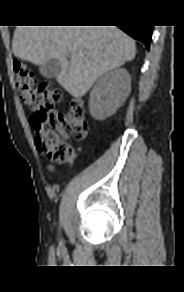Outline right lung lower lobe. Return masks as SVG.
Here are the masks:
<instances>
[{
	"label": "right lung lower lobe",
	"mask_w": 184,
	"mask_h": 292,
	"mask_svg": "<svg viewBox=\"0 0 184 292\" xmlns=\"http://www.w3.org/2000/svg\"><path fill=\"white\" fill-rule=\"evenodd\" d=\"M132 38L140 40L149 49L153 26L123 25L118 26Z\"/></svg>",
	"instance_id": "obj_1"
}]
</instances>
